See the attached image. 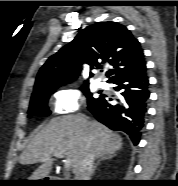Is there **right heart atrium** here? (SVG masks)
Instances as JSON below:
<instances>
[{"label": "right heart atrium", "instance_id": "d8ad5b80", "mask_svg": "<svg viewBox=\"0 0 178 186\" xmlns=\"http://www.w3.org/2000/svg\"><path fill=\"white\" fill-rule=\"evenodd\" d=\"M84 103V95L77 88L68 87L54 93V111L65 116L78 110Z\"/></svg>", "mask_w": 178, "mask_h": 186}]
</instances>
